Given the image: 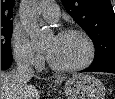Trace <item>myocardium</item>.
<instances>
[{"instance_id":"1","label":"myocardium","mask_w":115,"mask_h":99,"mask_svg":"<svg viewBox=\"0 0 115 99\" xmlns=\"http://www.w3.org/2000/svg\"><path fill=\"white\" fill-rule=\"evenodd\" d=\"M59 35H78L82 37L87 46V55L83 61L74 65H66V66L57 65L54 62H52L50 58H48V64L53 70L58 72H73L82 70L92 64L96 56V48L92 38L88 35V33H86L84 30L81 29L68 28L61 31Z\"/></svg>"}]
</instances>
